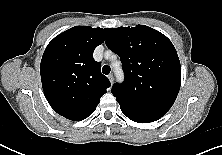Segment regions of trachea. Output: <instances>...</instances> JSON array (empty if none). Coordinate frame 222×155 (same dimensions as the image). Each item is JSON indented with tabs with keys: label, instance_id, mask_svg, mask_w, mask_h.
Returning a JSON list of instances; mask_svg holds the SVG:
<instances>
[{
	"label": "trachea",
	"instance_id": "trachea-1",
	"mask_svg": "<svg viewBox=\"0 0 222 155\" xmlns=\"http://www.w3.org/2000/svg\"><path fill=\"white\" fill-rule=\"evenodd\" d=\"M110 70H111V68H110L109 65H104L103 68H102V72L105 75H108L110 73Z\"/></svg>",
	"mask_w": 222,
	"mask_h": 155
}]
</instances>
